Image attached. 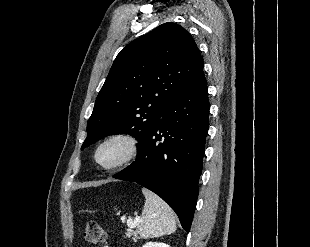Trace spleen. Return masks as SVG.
I'll return each mask as SVG.
<instances>
[{"label": "spleen", "mask_w": 310, "mask_h": 247, "mask_svg": "<svg viewBox=\"0 0 310 247\" xmlns=\"http://www.w3.org/2000/svg\"><path fill=\"white\" fill-rule=\"evenodd\" d=\"M146 201L137 232L144 239L169 235L176 230L173 210L159 196L143 188Z\"/></svg>", "instance_id": "1"}]
</instances>
